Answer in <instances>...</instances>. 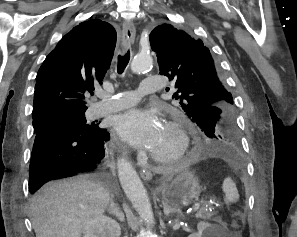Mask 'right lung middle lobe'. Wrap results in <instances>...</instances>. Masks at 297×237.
I'll list each match as a JSON object with an SVG mask.
<instances>
[{
  "label": "right lung middle lobe",
  "mask_w": 297,
  "mask_h": 237,
  "mask_svg": "<svg viewBox=\"0 0 297 237\" xmlns=\"http://www.w3.org/2000/svg\"><path fill=\"white\" fill-rule=\"evenodd\" d=\"M54 118L64 119L75 129L82 131L84 133H91L97 129V125L93 123L91 125L86 124L85 111L83 112L82 111H76V112L61 111V112L48 114L37 120H33L34 130L36 131L47 120L54 119Z\"/></svg>",
  "instance_id": "1"
}]
</instances>
